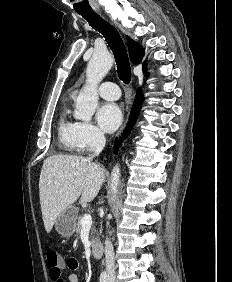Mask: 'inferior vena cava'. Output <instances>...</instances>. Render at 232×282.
<instances>
[{
	"label": "inferior vena cava",
	"mask_w": 232,
	"mask_h": 282,
	"mask_svg": "<svg viewBox=\"0 0 232 282\" xmlns=\"http://www.w3.org/2000/svg\"><path fill=\"white\" fill-rule=\"evenodd\" d=\"M106 143V139L103 132H99L96 135V142H95V150L91 157L88 160H91L93 157L98 156ZM105 263H106V272H107V280L108 282H114L115 280V260H114V250L113 245L109 239L105 241Z\"/></svg>",
	"instance_id": "inferior-vena-cava-1"
}]
</instances>
